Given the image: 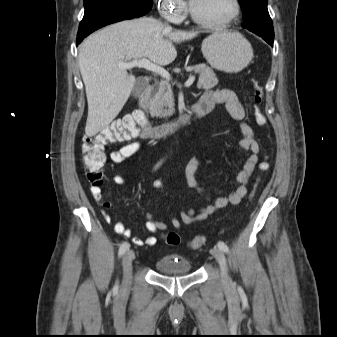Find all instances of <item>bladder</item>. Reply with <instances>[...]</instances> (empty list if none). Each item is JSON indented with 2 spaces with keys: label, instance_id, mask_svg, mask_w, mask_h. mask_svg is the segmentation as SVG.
<instances>
[{
  "label": "bladder",
  "instance_id": "31cf9c89",
  "mask_svg": "<svg viewBox=\"0 0 337 337\" xmlns=\"http://www.w3.org/2000/svg\"><path fill=\"white\" fill-rule=\"evenodd\" d=\"M155 267L158 273L163 275H185L192 271L190 262L177 254H167L159 258Z\"/></svg>",
  "mask_w": 337,
  "mask_h": 337
}]
</instances>
